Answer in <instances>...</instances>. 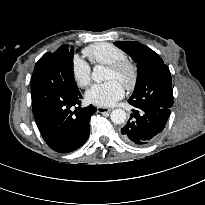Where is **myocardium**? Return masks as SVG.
<instances>
[{"mask_svg": "<svg viewBox=\"0 0 205 205\" xmlns=\"http://www.w3.org/2000/svg\"><path fill=\"white\" fill-rule=\"evenodd\" d=\"M108 69L116 74L126 75L124 86L129 90L135 88L138 82V68L133 62L128 59L121 60L108 65Z\"/></svg>", "mask_w": 205, "mask_h": 205, "instance_id": "f54148a6", "label": "myocardium"}]
</instances>
